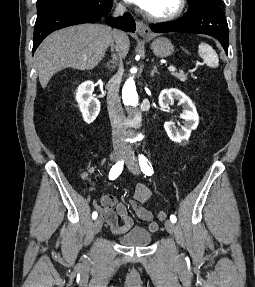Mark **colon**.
<instances>
[{"label": "colon", "instance_id": "obj_1", "mask_svg": "<svg viewBox=\"0 0 255 287\" xmlns=\"http://www.w3.org/2000/svg\"><path fill=\"white\" fill-rule=\"evenodd\" d=\"M155 215L159 220H164L167 216L166 212L164 211H157Z\"/></svg>", "mask_w": 255, "mask_h": 287}]
</instances>
